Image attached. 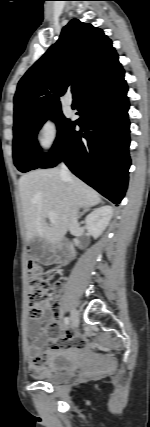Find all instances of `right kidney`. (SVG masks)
<instances>
[{"label":"right kidney","mask_w":150,"mask_h":427,"mask_svg":"<svg viewBox=\"0 0 150 427\" xmlns=\"http://www.w3.org/2000/svg\"><path fill=\"white\" fill-rule=\"evenodd\" d=\"M113 215V208L111 206H102L91 212L85 219L86 228L90 235L97 239L109 225ZM73 257L76 252L73 244H71Z\"/></svg>","instance_id":"right-kidney-1"}]
</instances>
